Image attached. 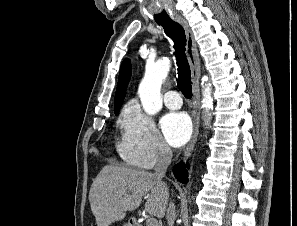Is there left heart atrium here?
<instances>
[{
    "label": "left heart atrium",
    "instance_id": "1",
    "mask_svg": "<svg viewBox=\"0 0 297 226\" xmlns=\"http://www.w3.org/2000/svg\"><path fill=\"white\" fill-rule=\"evenodd\" d=\"M162 132L167 142L180 147L185 144L191 135V122L187 114L183 112H171L166 114L160 122Z\"/></svg>",
    "mask_w": 297,
    "mask_h": 226
}]
</instances>
